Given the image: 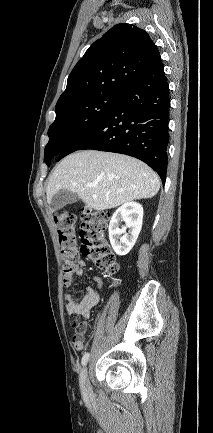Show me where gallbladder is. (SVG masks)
I'll use <instances>...</instances> for the list:
<instances>
[{
  "mask_svg": "<svg viewBox=\"0 0 213 433\" xmlns=\"http://www.w3.org/2000/svg\"><path fill=\"white\" fill-rule=\"evenodd\" d=\"M79 200V196L72 191L62 189L52 197L50 207L53 211L59 210L67 204L75 203Z\"/></svg>",
  "mask_w": 213,
  "mask_h": 433,
  "instance_id": "gallbladder-1",
  "label": "gallbladder"
}]
</instances>
